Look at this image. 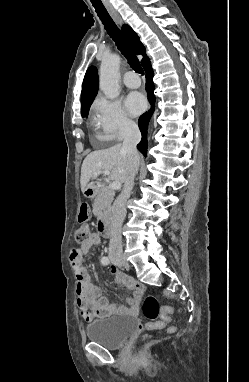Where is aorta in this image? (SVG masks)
<instances>
[{
  "mask_svg": "<svg viewBox=\"0 0 249 382\" xmlns=\"http://www.w3.org/2000/svg\"><path fill=\"white\" fill-rule=\"evenodd\" d=\"M119 66L120 57L117 54H111L101 62L99 86L108 99H115L120 94Z\"/></svg>",
  "mask_w": 249,
  "mask_h": 382,
  "instance_id": "obj_1",
  "label": "aorta"
}]
</instances>
